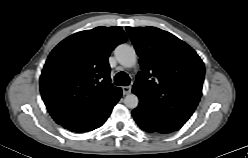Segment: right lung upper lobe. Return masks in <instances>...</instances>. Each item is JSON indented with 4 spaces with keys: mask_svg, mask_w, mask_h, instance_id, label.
Returning <instances> with one entry per match:
<instances>
[{
    "mask_svg": "<svg viewBox=\"0 0 248 158\" xmlns=\"http://www.w3.org/2000/svg\"><path fill=\"white\" fill-rule=\"evenodd\" d=\"M127 40L121 27H96L75 33L50 53L40 77L47 110L60 125L99 112L120 90L111 84L108 57Z\"/></svg>",
    "mask_w": 248,
    "mask_h": 158,
    "instance_id": "obj_1",
    "label": "right lung upper lobe"
}]
</instances>
